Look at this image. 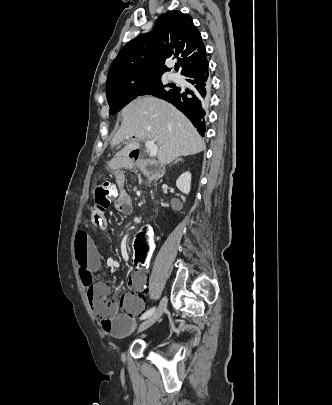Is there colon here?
I'll return each mask as SVG.
<instances>
[{"label": "colon", "mask_w": 332, "mask_h": 405, "mask_svg": "<svg viewBox=\"0 0 332 405\" xmlns=\"http://www.w3.org/2000/svg\"><path fill=\"white\" fill-rule=\"evenodd\" d=\"M118 185L103 183L95 190V204L93 208H101L102 212L108 207L112 208L115 197L118 195ZM103 215V213H102ZM94 223H100L101 217H92ZM155 232L149 231L147 228L140 229L135 235L134 247H132V267L145 268L149 267V260L155 253ZM90 303L98 315L103 318L113 317L118 307V301L112 295V289L107 281H97L86 289ZM125 297L121 299L122 305Z\"/></svg>", "instance_id": "colon-1"}]
</instances>
